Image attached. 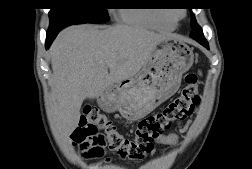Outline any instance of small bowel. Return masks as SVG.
I'll return each mask as SVG.
<instances>
[{
  "label": "small bowel",
  "mask_w": 252,
  "mask_h": 169,
  "mask_svg": "<svg viewBox=\"0 0 252 169\" xmlns=\"http://www.w3.org/2000/svg\"><path fill=\"white\" fill-rule=\"evenodd\" d=\"M178 136L175 133H169L167 135H162L157 139L158 144L163 145H173L177 142Z\"/></svg>",
  "instance_id": "c3829d8e"
}]
</instances>
